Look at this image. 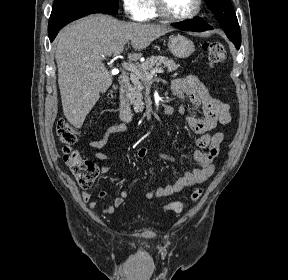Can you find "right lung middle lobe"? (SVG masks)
<instances>
[{"label": "right lung middle lobe", "instance_id": "dd1d6c3e", "mask_svg": "<svg viewBox=\"0 0 288 280\" xmlns=\"http://www.w3.org/2000/svg\"><path fill=\"white\" fill-rule=\"evenodd\" d=\"M94 3L101 5L115 14L118 12V4L119 0H55L52 8V12H55L63 7L70 6L73 4H79V3Z\"/></svg>", "mask_w": 288, "mask_h": 280}]
</instances>
